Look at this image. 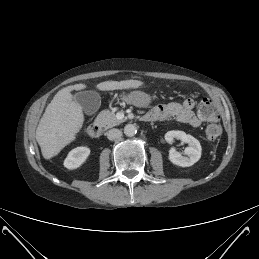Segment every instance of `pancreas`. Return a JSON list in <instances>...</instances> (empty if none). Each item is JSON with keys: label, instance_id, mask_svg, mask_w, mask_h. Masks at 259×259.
<instances>
[{"label": "pancreas", "instance_id": "1", "mask_svg": "<svg viewBox=\"0 0 259 259\" xmlns=\"http://www.w3.org/2000/svg\"><path fill=\"white\" fill-rule=\"evenodd\" d=\"M95 123L101 127H104L105 129H109L122 123V121L116 118L113 111L103 110L98 114L97 118L95 119Z\"/></svg>", "mask_w": 259, "mask_h": 259}]
</instances>
